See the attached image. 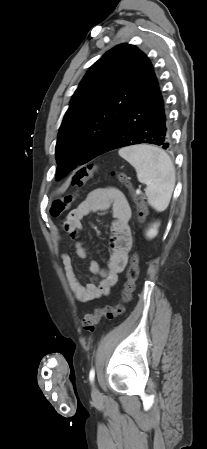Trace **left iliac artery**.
Returning <instances> with one entry per match:
<instances>
[{
    "label": "left iliac artery",
    "mask_w": 207,
    "mask_h": 449,
    "mask_svg": "<svg viewBox=\"0 0 207 449\" xmlns=\"http://www.w3.org/2000/svg\"><path fill=\"white\" fill-rule=\"evenodd\" d=\"M94 378H95V370H94V368H92L89 372V380L91 383H93Z\"/></svg>",
    "instance_id": "left-iliac-artery-1"
}]
</instances>
